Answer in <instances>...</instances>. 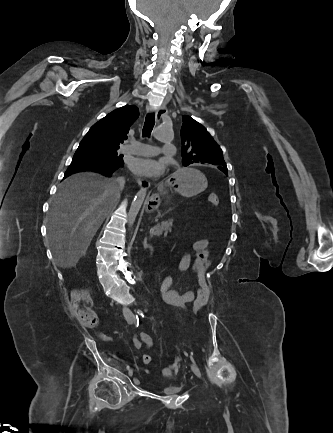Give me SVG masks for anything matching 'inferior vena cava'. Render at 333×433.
I'll list each match as a JSON object with an SVG mask.
<instances>
[{
  "label": "inferior vena cava",
  "instance_id": "1",
  "mask_svg": "<svg viewBox=\"0 0 333 433\" xmlns=\"http://www.w3.org/2000/svg\"><path fill=\"white\" fill-rule=\"evenodd\" d=\"M115 184H116V190H117V192L120 193L123 190V188H124L125 179L123 177H120V178H118L116 180ZM123 315H124V318L126 319V321L128 323L133 322L134 319H135L134 314L128 308H124Z\"/></svg>",
  "mask_w": 333,
  "mask_h": 433
}]
</instances>
